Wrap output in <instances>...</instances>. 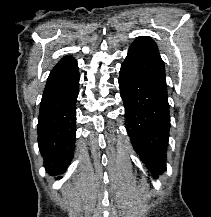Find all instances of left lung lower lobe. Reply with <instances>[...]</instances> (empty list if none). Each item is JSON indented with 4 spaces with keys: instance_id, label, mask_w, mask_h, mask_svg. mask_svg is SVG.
Returning <instances> with one entry per match:
<instances>
[{
    "instance_id": "1",
    "label": "left lung lower lobe",
    "mask_w": 211,
    "mask_h": 217,
    "mask_svg": "<svg viewBox=\"0 0 211 217\" xmlns=\"http://www.w3.org/2000/svg\"><path fill=\"white\" fill-rule=\"evenodd\" d=\"M119 87L131 143L156 177L166 170L165 152L170 130L167 92L124 64L120 70Z\"/></svg>"
}]
</instances>
